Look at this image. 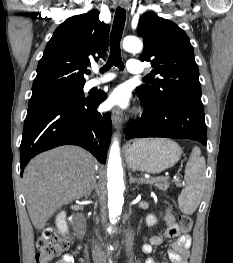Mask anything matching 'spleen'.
<instances>
[{
	"instance_id": "3e777b00",
	"label": "spleen",
	"mask_w": 233,
	"mask_h": 263,
	"mask_svg": "<svg viewBox=\"0 0 233 263\" xmlns=\"http://www.w3.org/2000/svg\"><path fill=\"white\" fill-rule=\"evenodd\" d=\"M206 163L201 150L195 146L185 168L186 187L178 197L180 210L192 214L197 209L205 184Z\"/></svg>"
}]
</instances>
